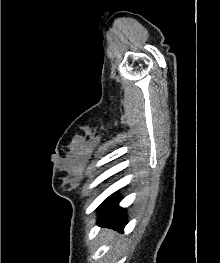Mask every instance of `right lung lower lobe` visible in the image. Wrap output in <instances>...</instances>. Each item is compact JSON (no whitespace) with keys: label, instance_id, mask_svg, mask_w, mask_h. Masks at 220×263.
<instances>
[{"label":"right lung lower lobe","instance_id":"1","mask_svg":"<svg viewBox=\"0 0 220 263\" xmlns=\"http://www.w3.org/2000/svg\"><path fill=\"white\" fill-rule=\"evenodd\" d=\"M120 198L113 194L99 206L98 224L122 232L126 225V213L118 206Z\"/></svg>","mask_w":220,"mask_h":263}]
</instances>
